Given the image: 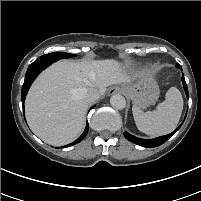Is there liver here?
Here are the masks:
<instances>
[{
  "instance_id": "obj_1",
  "label": "liver",
  "mask_w": 201,
  "mask_h": 201,
  "mask_svg": "<svg viewBox=\"0 0 201 201\" xmlns=\"http://www.w3.org/2000/svg\"><path fill=\"white\" fill-rule=\"evenodd\" d=\"M141 75H130L114 59L58 61L32 84L25 101L27 122L44 142L68 144L84 128L89 105L84 98L85 89L94 88L103 95L108 86L130 83Z\"/></svg>"
}]
</instances>
